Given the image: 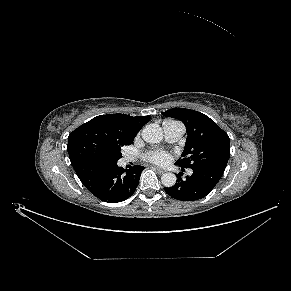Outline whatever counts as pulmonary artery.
<instances>
[{
    "label": "pulmonary artery",
    "mask_w": 291,
    "mask_h": 291,
    "mask_svg": "<svg viewBox=\"0 0 291 291\" xmlns=\"http://www.w3.org/2000/svg\"><path fill=\"white\" fill-rule=\"evenodd\" d=\"M162 128H163L165 139L168 142L178 141L182 137L185 131L184 125L177 121H165L163 123ZM131 160H132L131 157H125L123 159L124 162H129ZM188 174L191 175L192 170H189Z\"/></svg>",
    "instance_id": "obj_1"
}]
</instances>
